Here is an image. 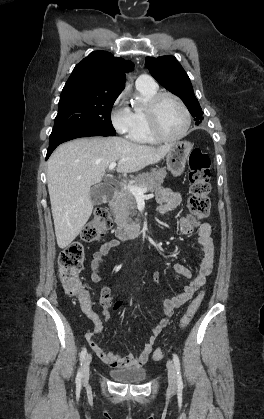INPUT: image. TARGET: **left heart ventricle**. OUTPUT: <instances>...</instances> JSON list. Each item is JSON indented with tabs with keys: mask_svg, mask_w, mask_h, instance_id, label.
Instances as JSON below:
<instances>
[{
	"mask_svg": "<svg viewBox=\"0 0 264 419\" xmlns=\"http://www.w3.org/2000/svg\"><path fill=\"white\" fill-rule=\"evenodd\" d=\"M162 132L170 137L180 134L185 125V116L179 105L171 98H164L158 110Z\"/></svg>",
	"mask_w": 264,
	"mask_h": 419,
	"instance_id": "obj_1",
	"label": "left heart ventricle"
}]
</instances>
